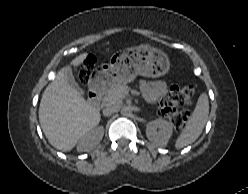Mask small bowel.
Masks as SVG:
<instances>
[{
  "mask_svg": "<svg viewBox=\"0 0 248 194\" xmlns=\"http://www.w3.org/2000/svg\"><path fill=\"white\" fill-rule=\"evenodd\" d=\"M140 87L147 100L152 103L160 101L167 92L166 84L162 81H143Z\"/></svg>",
  "mask_w": 248,
  "mask_h": 194,
  "instance_id": "c3829d8e",
  "label": "small bowel"
}]
</instances>
